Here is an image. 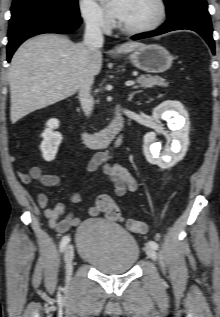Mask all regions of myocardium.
Here are the masks:
<instances>
[{
	"instance_id": "f54148a6",
	"label": "myocardium",
	"mask_w": 220,
	"mask_h": 317,
	"mask_svg": "<svg viewBox=\"0 0 220 317\" xmlns=\"http://www.w3.org/2000/svg\"><path fill=\"white\" fill-rule=\"evenodd\" d=\"M154 2L156 3L158 8V14L156 19L151 24L138 28H129L118 23V29L124 34L133 36L148 34L158 29L164 22L167 15V5L165 3V0H154Z\"/></svg>"
}]
</instances>
